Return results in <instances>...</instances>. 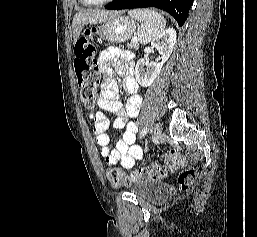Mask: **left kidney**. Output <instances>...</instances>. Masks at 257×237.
<instances>
[{
    "label": "left kidney",
    "mask_w": 257,
    "mask_h": 237,
    "mask_svg": "<svg viewBox=\"0 0 257 237\" xmlns=\"http://www.w3.org/2000/svg\"><path fill=\"white\" fill-rule=\"evenodd\" d=\"M176 30L168 28L160 33L152 42L151 48H155L161 55V62H149L148 59H139L135 67V77L137 82L143 86H150L159 75L163 64L169 59L175 43Z\"/></svg>",
    "instance_id": "left-kidney-1"
}]
</instances>
